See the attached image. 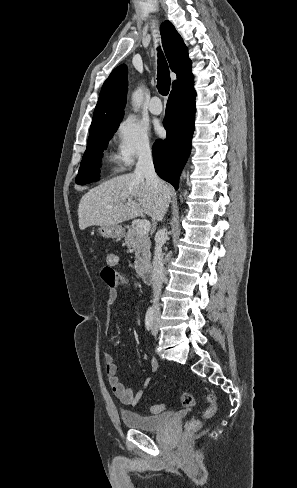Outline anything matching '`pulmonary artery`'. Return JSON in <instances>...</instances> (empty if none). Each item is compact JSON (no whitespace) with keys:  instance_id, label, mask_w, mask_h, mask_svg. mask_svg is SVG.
<instances>
[{"instance_id":"pulmonary-artery-1","label":"pulmonary artery","mask_w":297,"mask_h":488,"mask_svg":"<svg viewBox=\"0 0 297 488\" xmlns=\"http://www.w3.org/2000/svg\"><path fill=\"white\" fill-rule=\"evenodd\" d=\"M149 111L154 115H159L162 113L163 108L160 99L157 96L152 97L149 104Z\"/></svg>"}]
</instances>
